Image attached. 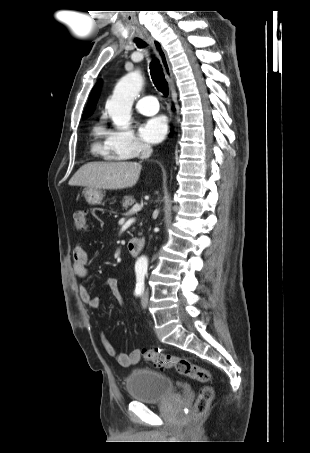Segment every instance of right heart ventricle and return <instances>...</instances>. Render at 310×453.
<instances>
[{
  "mask_svg": "<svg viewBox=\"0 0 310 453\" xmlns=\"http://www.w3.org/2000/svg\"><path fill=\"white\" fill-rule=\"evenodd\" d=\"M94 140L91 145L92 151L96 155L102 156L106 160H120L122 158L117 157L110 153L107 149L105 142L100 141V138L103 135V130L100 126H95L93 129Z\"/></svg>",
  "mask_w": 310,
  "mask_h": 453,
  "instance_id": "e07e8e85",
  "label": "right heart ventricle"
}]
</instances>
